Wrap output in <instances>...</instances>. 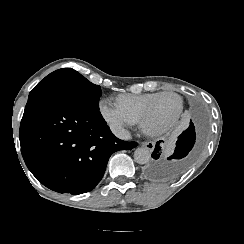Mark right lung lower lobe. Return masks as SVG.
Segmentation results:
<instances>
[{"label": "right lung lower lobe", "instance_id": "98d812e1", "mask_svg": "<svg viewBox=\"0 0 244 244\" xmlns=\"http://www.w3.org/2000/svg\"><path fill=\"white\" fill-rule=\"evenodd\" d=\"M19 138L25 164L38 181L71 194L92 190L112 153L137 146L116 138L99 110L55 99L28 100Z\"/></svg>", "mask_w": 244, "mask_h": 244}]
</instances>
